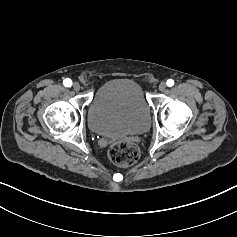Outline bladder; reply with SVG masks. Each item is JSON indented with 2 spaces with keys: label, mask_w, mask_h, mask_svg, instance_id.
Here are the masks:
<instances>
[{
  "label": "bladder",
  "mask_w": 237,
  "mask_h": 237,
  "mask_svg": "<svg viewBox=\"0 0 237 237\" xmlns=\"http://www.w3.org/2000/svg\"><path fill=\"white\" fill-rule=\"evenodd\" d=\"M151 110L141 85L131 78H115L102 84L87 109L91 131L101 136H123L146 131Z\"/></svg>",
  "instance_id": "obj_1"
}]
</instances>
